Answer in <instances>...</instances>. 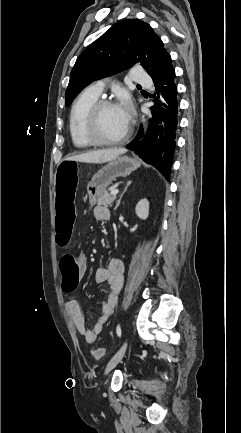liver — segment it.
Returning a JSON list of instances; mask_svg holds the SVG:
<instances>
[{"label":"liver","mask_w":241,"mask_h":433,"mask_svg":"<svg viewBox=\"0 0 241 433\" xmlns=\"http://www.w3.org/2000/svg\"><path fill=\"white\" fill-rule=\"evenodd\" d=\"M126 149H103L98 151H91L79 155H74L65 158V160H74L77 162L84 163H105L112 161L119 155L126 153Z\"/></svg>","instance_id":"obj_1"}]
</instances>
